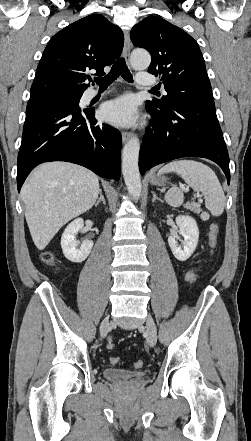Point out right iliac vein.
<instances>
[{
    "mask_svg": "<svg viewBox=\"0 0 251 441\" xmlns=\"http://www.w3.org/2000/svg\"><path fill=\"white\" fill-rule=\"evenodd\" d=\"M110 327L109 318H105L100 325V334L101 337L104 338L107 335L108 329Z\"/></svg>",
    "mask_w": 251,
    "mask_h": 441,
    "instance_id": "obj_1",
    "label": "right iliac vein"
}]
</instances>
